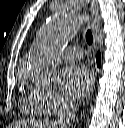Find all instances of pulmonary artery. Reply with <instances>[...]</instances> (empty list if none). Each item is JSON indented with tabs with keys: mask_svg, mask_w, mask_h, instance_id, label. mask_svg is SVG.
<instances>
[{
	"mask_svg": "<svg viewBox=\"0 0 125 128\" xmlns=\"http://www.w3.org/2000/svg\"><path fill=\"white\" fill-rule=\"evenodd\" d=\"M60 56L66 61H78L82 59L83 51L79 46H71L63 50Z\"/></svg>",
	"mask_w": 125,
	"mask_h": 128,
	"instance_id": "1",
	"label": "pulmonary artery"
}]
</instances>
